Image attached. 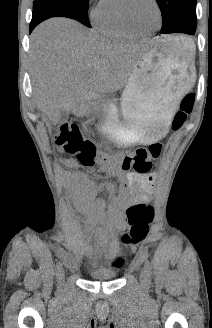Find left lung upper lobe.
Wrapping results in <instances>:
<instances>
[{
  "label": "left lung upper lobe",
  "instance_id": "left-lung-upper-lobe-1",
  "mask_svg": "<svg viewBox=\"0 0 212 328\" xmlns=\"http://www.w3.org/2000/svg\"><path fill=\"white\" fill-rule=\"evenodd\" d=\"M162 14L161 33L196 31V0H156Z\"/></svg>",
  "mask_w": 212,
  "mask_h": 328
}]
</instances>
